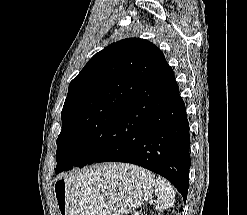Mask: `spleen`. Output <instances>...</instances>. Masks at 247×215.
Masks as SVG:
<instances>
[{"label": "spleen", "mask_w": 247, "mask_h": 215, "mask_svg": "<svg viewBox=\"0 0 247 215\" xmlns=\"http://www.w3.org/2000/svg\"><path fill=\"white\" fill-rule=\"evenodd\" d=\"M154 182L155 194L158 199L156 209L161 211L173 207L175 203V191L170 182L160 177H157Z\"/></svg>", "instance_id": "3e777b00"}]
</instances>
